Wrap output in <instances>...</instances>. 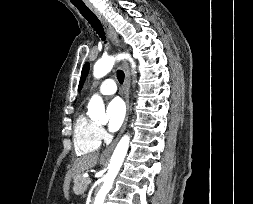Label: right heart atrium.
Returning <instances> with one entry per match:
<instances>
[{"mask_svg": "<svg viewBox=\"0 0 253 204\" xmlns=\"http://www.w3.org/2000/svg\"><path fill=\"white\" fill-rule=\"evenodd\" d=\"M97 131H98V135H99L100 139L105 138L106 133H105L104 129L101 126H98Z\"/></svg>", "mask_w": 253, "mask_h": 204, "instance_id": "right-heart-atrium-1", "label": "right heart atrium"}]
</instances>
